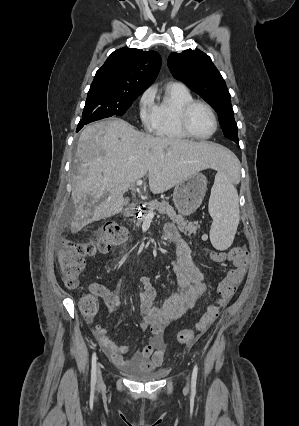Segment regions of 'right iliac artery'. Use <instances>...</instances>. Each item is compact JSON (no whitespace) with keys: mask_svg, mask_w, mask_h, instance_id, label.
<instances>
[{"mask_svg":"<svg viewBox=\"0 0 299 426\" xmlns=\"http://www.w3.org/2000/svg\"><path fill=\"white\" fill-rule=\"evenodd\" d=\"M97 356L96 353L94 352L92 355V368H91V387L92 389H94L95 385H96V380H97Z\"/></svg>","mask_w":299,"mask_h":426,"instance_id":"right-iliac-artery-1","label":"right iliac artery"}]
</instances>
